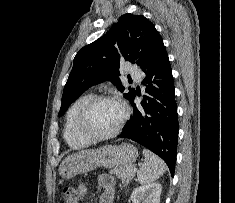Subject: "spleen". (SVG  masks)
<instances>
[{
  "label": "spleen",
  "mask_w": 235,
  "mask_h": 203,
  "mask_svg": "<svg viewBox=\"0 0 235 203\" xmlns=\"http://www.w3.org/2000/svg\"><path fill=\"white\" fill-rule=\"evenodd\" d=\"M143 154L145 162L137 172V179L140 184H149L162 176L166 172L167 167L164 161L151 151L144 149Z\"/></svg>",
  "instance_id": "obj_1"
}]
</instances>
